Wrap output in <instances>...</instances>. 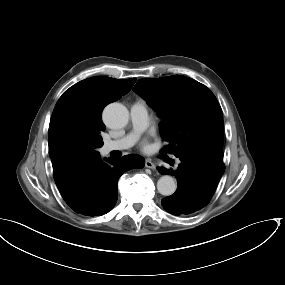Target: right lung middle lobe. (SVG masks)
<instances>
[{
	"label": "right lung middle lobe",
	"mask_w": 285,
	"mask_h": 285,
	"mask_svg": "<svg viewBox=\"0 0 285 285\" xmlns=\"http://www.w3.org/2000/svg\"><path fill=\"white\" fill-rule=\"evenodd\" d=\"M100 116L77 107L54 111L49 125L48 143L60 156L75 165H85L100 157V133L105 130Z\"/></svg>",
	"instance_id": "right-lung-middle-lobe-1"
}]
</instances>
